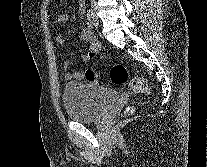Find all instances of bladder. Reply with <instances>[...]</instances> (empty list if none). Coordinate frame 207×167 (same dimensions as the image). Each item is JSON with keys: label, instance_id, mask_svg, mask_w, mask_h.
I'll list each match as a JSON object with an SVG mask.
<instances>
[{"label": "bladder", "instance_id": "bladder-1", "mask_svg": "<svg viewBox=\"0 0 207 167\" xmlns=\"http://www.w3.org/2000/svg\"><path fill=\"white\" fill-rule=\"evenodd\" d=\"M119 97L117 91L85 82L70 81L64 86L62 101L68 116L77 122L99 119Z\"/></svg>", "mask_w": 207, "mask_h": 167}]
</instances>
